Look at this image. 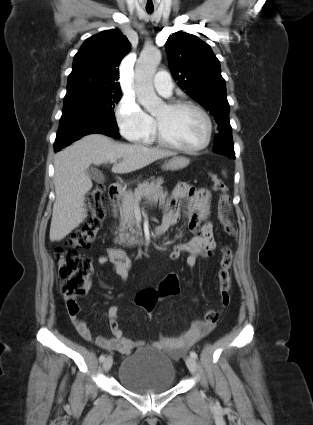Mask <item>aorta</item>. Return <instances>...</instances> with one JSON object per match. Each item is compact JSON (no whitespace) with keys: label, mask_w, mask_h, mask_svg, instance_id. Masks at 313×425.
<instances>
[{"label":"aorta","mask_w":313,"mask_h":425,"mask_svg":"<svg viewBox=\"0 0 313 425\" xmlns=\"http://www.w3.org/2000/svg\"><path fill=\"white\" fill-rule=\"evenodd\" d=\"M161 61V53L156 48L143 50L135 66V92L138 102L150 113L162 105L153 87V76Z\"/></svg>","instance_id":"aorta-1"}]
</instances>
